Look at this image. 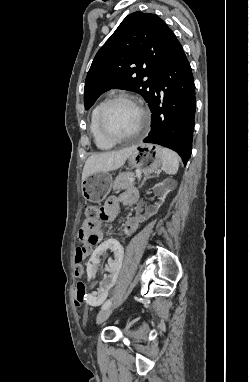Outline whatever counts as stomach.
Returning <instances> with one entry per match:
<instances>
[{
	"label": "stomach",
	"instance_id": "obj_1",
	"mask_svg": "<svg viewBox=\"0 0 249 382\" xmlns=\"http://www.w3.org/2000/svg\"><path fill=\"white\" fill-rule=\"evenodd\" d=\"M162 164L161 147L153 144H138L129 156V165L149 175ZM112 179L107 172H94L82 181V195L85 200L100 203L109 194Z\"/></svg>",
	"mask_w": 249,
	"mask_h": 382
}]
</instances>
